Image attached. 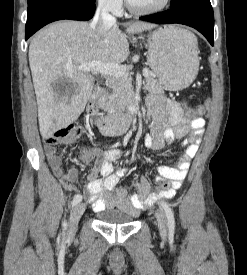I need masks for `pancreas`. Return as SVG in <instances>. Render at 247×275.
<instances>
[{
    "label": "pancreas",
    "mask_w": 247,
    "mask_h": 275,
    "mask_svg": "<svg viewBox=\"0 0 247 275\" xmlns=\"http://www.w3.org/2000/svg\"><path fill=\"white\" fill-rule=\"evenodd\" d=\"M112 92L101 101V108L108 113H120L132 101L133 87L129 80L114 78L111 81ZM145 88L150 93H163V88L150 73L145 78Z\"/></svg>",
    "instance_id": "obj_1"
}]
</instances>
